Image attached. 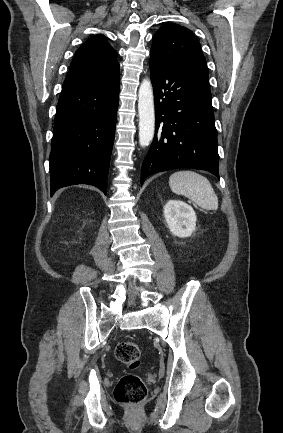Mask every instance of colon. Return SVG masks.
<instances>
[{
  "instance_id": "5ec220e1",
  "label": "colon",
  "mask_w": 283,
  "mask_h": 433,
  "mask_svg": "<svg viewBox=\"0 0 283 433\" xmlns=\"http://www.w3.org/2000/svg\"><path fill=\"white\" fill-rule=\"evenodd\" d=\"M116 359L132 370L139 368L141 352L137 344L131 341L120 342L115 348ZM147 395L143 380L135 373L124 375L114 390L115 399L126 405H137Z\"/></svg>"
}]
</instances>
